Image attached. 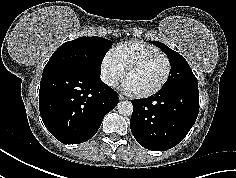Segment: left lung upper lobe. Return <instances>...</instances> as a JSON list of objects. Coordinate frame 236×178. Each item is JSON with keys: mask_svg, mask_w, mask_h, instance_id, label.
Listing matches in <instances>:
<instances>
[{"mask_svg": "<svg viewBox=\"0 0 236 178\" xmlns=\"http://www.w3.org/2000/svg\"><path fill=\"white\" fill-rule=\"evenodd\" d=\"M155 46L162 49L171 65V72L167 82L165 83L163 88L169 87H198V82L196 77L194 76L189 64L179 53L174 50L168 48L161 42L158 41H150Z\"/></svg>", "mask_w": 236, "mask_h": 178, "instance_id": "5c2ea615", "label": "left lung upper lobe"}]
</instances>
